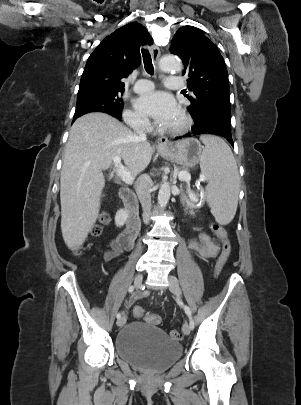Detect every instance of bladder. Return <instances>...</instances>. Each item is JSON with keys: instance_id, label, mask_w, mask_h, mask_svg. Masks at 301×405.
<instances>
[{"instance_id": "1", "label": "bladder", "mask_w": 301, "mask_h": 405, "mask_svg": "<svg viewBox=\"0 0 301 405\" xmlns=\"http://www.w3.org/2000/svg\"><path fill=\"white\" fill-rule=\"evenodd\" d=\"M117 355L132 366L148 372H162L176 362L182 346L163 330L143 322H131L115 338Z\"/></svg>"}]
</instances>
